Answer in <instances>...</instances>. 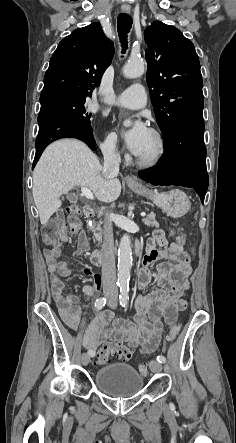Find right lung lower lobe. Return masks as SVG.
<instances>
[{
    "label": "right lung lower lobe",
    "mask_w": 236,
    "mask_h": 443,
    "mask_svg": "<svg viewBox=\"0 0 236 443\" xmlns=\"http://www.w3.org/2000/svg\"><path fill=\"white\" fill-rule=\"evenodd\" d=\"M38 124L39 133L35 142L36 154L33 168L46 146L60 138H77L85 142L93 151L97 149L90 123L77 118L59 105L41 106Z\"/></svg>",
    "instance_id": "obj_1"
}]
</instances>
